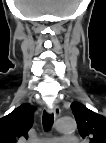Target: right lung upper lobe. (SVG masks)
Masks as SVG:
<instances>
[{
  "mask_svg": "<svg viewBox=\"0 0 106 143\" xmlns=\"http://www.w3.org/2000/svg\"><path fill=\"white\" fill-rule=\"evenodd\" d=\"M36 107L29 103L20 105L0 119V143H17L20 138H28V130L33 124Z\"/></svg>",
  "mask_w": 106,
  "mask_h": 143,
  "instance_id": "right-lung-upper-lobe-1",
  "label": "right lung upper lobe"
}]
</instances>
